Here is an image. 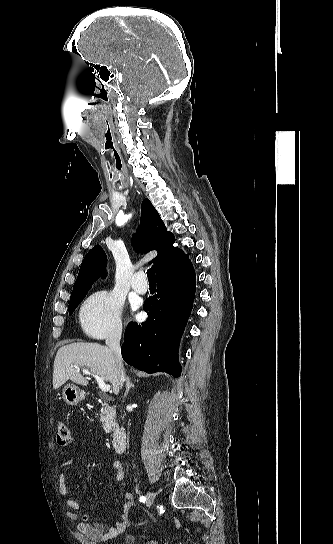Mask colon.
<instances>
[{"label": "colon", "instance_id": "colon-1", "mask_svg": "<svg viewBox=\"0 0 333 544\" xmlns=\"http://www.w3.org/2000/svg\"><path fill=\"white\" fill-rule=\"evenodd\" d=\"M56 440L58 445L62 447L70 446L72 443L71 432L64 421L56 422Z\"/></svg>", "mask_w": 333, "mask_h": 544}]
</instances>
